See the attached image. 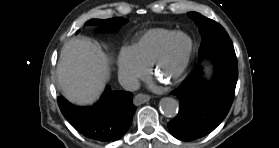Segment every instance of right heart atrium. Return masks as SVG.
Returning <instances> with one entry per match:
<instances>
[{"label": "right heart atrium", "mask_w": 279, "mask_h": 148, "mask_svg": "<svg viewBox=\"0 0 279 148\" xmlns=\"http://www.w3.org/2000/svg\"><path fill=\"white\" fill-rule=\"evenodd\" d=\"M118 72L122 82L128 87H133L138 80L147 77L149 69L131 47H125L118 56Z\"/></svg>", "instance_id": "right-heart-atrium-1"}]
</instances>
